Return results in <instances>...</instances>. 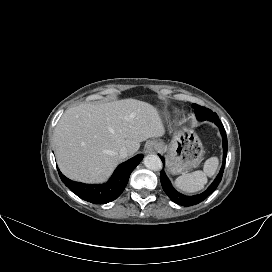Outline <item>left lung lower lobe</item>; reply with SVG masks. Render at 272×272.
<instances>
[{
    "label": "left lung lower lobe",
    "instance_id": "0a47b994",
    "mask_svg": "<svg viewBox=\"0 0 272 272\" xmlns=\"http://www.w3.org/2000/svg\"><path fill=\"white\" fill-rule=\"evenodd\" d=\"M208 121L214 122L220 128V132L223 137V164H222L219 174L215 178L214 182L207 188V190L199 195L185 196V195L177 192L173 188V186L171 185L165 172L163 170L161 171L160 181H161L163 190L165 191V193L168 195V197L173 202H175L179 205H182V206H192V205L198 204V203L202 202L203 200H205L210 194H212L214 192V190L217 188V186L219 185V183L222 179V175H223V171H224V167H225V162H226L227 149H228L226 132H225L224 126L221 123L218 116L213 117V118L209 119ZM160 158H161L162 162L165 163L164 158L162 156H160Z\"/></svg>",
    "mask_w": 272,
    "mask_h": 272
}]
</instances>
